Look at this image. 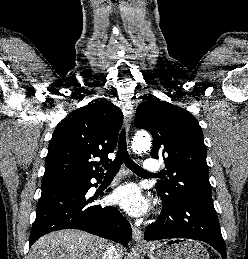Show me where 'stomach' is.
Here are the masks:
<instances>
[{
	"label": "stomach",
	"mask_w": 248,
	"mask_h": 259,
	"mask_svg": "<svg viewBox=\"0 0 248 259\" xmlns=\"http://www.w3.org/2000/svg\"><path fill=\"white\" fill-rule=\"evenodd\" d=\"M144 249L149 259H209L206 248L190 239H169Z\"/></svg>",
	"instance_id": "0dacf381"
}]
</instances>
